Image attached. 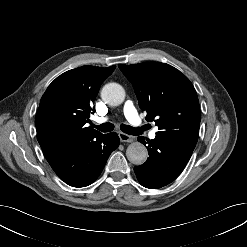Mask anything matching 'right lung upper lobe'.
I'll return each instance as SVG.
<instances>
[{
  "label": "right lung upper lobe",
  "mask_w": 247,
  "mask_h": 247,
  "mask_svg": "<svg viewBox=\"0 0 247 247\" xmlns=\"http://www.w3.org/2000/svg\"><path fill=\"white\" fill-rule=\"evenodd\" d=\"M114 69L86 65L63 73L49 85L35 117L37 139L46 159L66 142L102 134L85 124L95 111L93 102L102 82Z\"/></svg>",
  "instance_id": "right-lung-upper-lobe-1"
}]
</instances>
